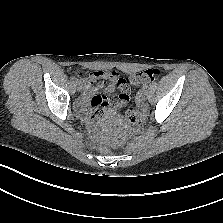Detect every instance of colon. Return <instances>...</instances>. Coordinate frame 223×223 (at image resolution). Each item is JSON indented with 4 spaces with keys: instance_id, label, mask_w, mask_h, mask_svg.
Masks as SVG:
<instances>
[{
    "instance_id": "5ec220e1",
    "label": "colon",
    "mask_w": 223,
    "mask_h": 223,
    "mask_svg": "<svg viewBox=\"0 0 223 223\" xmlns=\"http://www.w3.org/2000/svg\"><path fill=\"white\" fill-rule=\"evenodd\" d=\"M158 75V70L156 69H146L135 75L130 76L129 78H121L117 74L103 72L101 75H95L94 78L108 80L119 89L118 102L120 104H125L129 97L127 95L128 89L132 85L137 84H150L154 81L155 77ZM105 83V82H104ZM146 113L142 109H130L127 112V118L130 123L134 126H138L143 123Z\"/></svg>"
}]
</instances>
